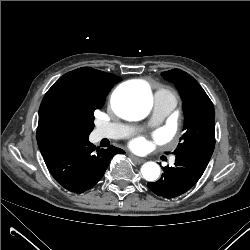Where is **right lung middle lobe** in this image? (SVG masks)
<instances>
[{
  "mask_svg": "<svg viewBox=\"0 0 250 250\" xmlns=\"http://www.w3.org/2000/svg\"><path fill=\"white\" fill-rule=\"evenodd\" d=\"M105 98L97 101L91 102L82 109V115L84 120V130L81 135L89 136L90 132L94 127V111L96 109H101L104 105Z\"/></svg>",
  "mask_w": 250,
  "mask_h": 250,
  "instance_id": "obj_1",
  "label": "right lung middle lobe"
}]
</instances>
